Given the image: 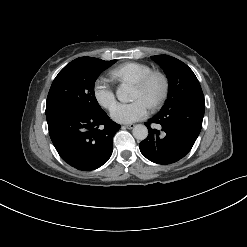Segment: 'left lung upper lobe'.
<instances>
[{
	"label": "left lung upper lobe",
	"instance_id": "5c2ea615",
	"mask_svg": "<svg viewBox=\"0 0 247 247\" xmlns=\"http://www.w3.org/2000/svg\"><path fill=\"white\" fill-rule=\"evenodd\" d=\"M151 59L162 67L169 83L168 97L159 113L186 104L205 105L199 81L185 63L168 55L151 56Z\"/></svg>",
	"mask_w": 247,
	"mask_h": 247
}]
</instances>
